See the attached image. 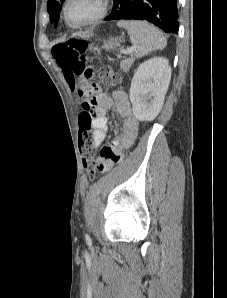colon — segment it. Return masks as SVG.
I'll return each instance as SVG.
<instances>
[{"instance_id": "5ec220e1", "label": "colon", "mask_w": 227, "mask_h": 298, "mask_svg": "<svg viewBox=\"0 0 227 298\" xmlns=\"http://www.w3.org/2000/svg\"><path fill=\"white\" fill-rule=\"evenodd\" d=\"M88 49L89 45L86 41L68 38L54 45L52 55L63 70L71 90L76 93L80 101L82 112L79 120L78 144L83 154V164L92 176L95 163L91 125L95 115L90 114L91 104H94L89 102L91 82L99 78L106 86H114L119 82V77L110 68L86 67L85 54ZM92 72H97V77H92Z\"/></svg>"}]
</instances>
